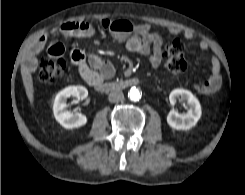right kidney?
I'll return each instance as SVG.
<instances>
[{
	"instance_id": "ca27d5eb",
	"label": "right kidney",
	"mask_w": 245,
	"mask_h": 195,
	"mask_svg": "<svg viewBox=\"0 0 245 195\" xmlns=\"http://www.w3.org/2000/svg\"><path fill=\"white\" fill-rule=\"evenodd\" d=\"M88 96V90L83 86H69L61 90L55 97L53 113L55 119L66 129L79 128L87 123V117L82 113H72L66 109V100L75 97L83 100Z\"/></svg>"
}]
</instances>
